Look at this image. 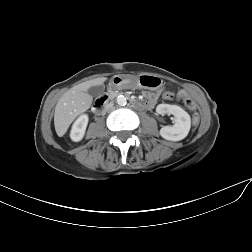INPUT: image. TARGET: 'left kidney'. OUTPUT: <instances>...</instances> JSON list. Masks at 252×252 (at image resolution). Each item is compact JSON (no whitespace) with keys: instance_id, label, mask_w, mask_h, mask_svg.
Listing matches in <instances>:
<instances>
[{"instance_id":"1","label":"left kidney","mask_w":252,"mask_h":252,"mask_svg":"<svg viewBox=\"0 0 252 252\" xmlns=\"http://www.w3.org/2000/svg\"><path fill=\"white\" fill-rule=\"evenodd\" d=\"M156 112L160 115H174V125L164 126L160 129V135L170 141H180L184 139L191 128V118L189 114L177 105L159 104Z\"/></svg>"}]
</instances>
